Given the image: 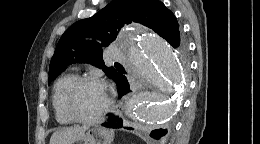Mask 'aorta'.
I'll use <instances>...</instances> for the list:
<instances>
[{
	"mask_svg": "<svg viewBox=\"0 0 260 144\" xmlns=\"http://www.w3.org/2000/svg\"><path fill=\"white\" fill-rule=\"evenodd\" d=\"M129 68L141 80L174 96L161 93L136 94L129 102L131 117L138 124H153L169 119L177 109L178 94L184 88V69L175 50L153 32L140 29L123 39Z\"/></svg>",
	"mask_w": 260,
	"mask_h": 144,
	"instance_id": "obj_1",
	"label": "aorta"
}]
</instances>
